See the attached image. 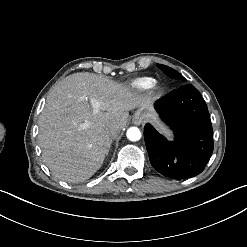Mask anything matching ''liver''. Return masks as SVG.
<instances>
[{"label": "liver", "instance_id": "liver-1", "mask_svg": "<svg viewBox=\"0 0 247 247\" xmlns=\"http://www.w3.org/2000/svg\"><path fill=\"white\" fill-rule=\"evenodd\" d=\"M91 98L101 103L97 114H93ZM149 101L129 85L106 76L89 72L67 76L50 92L39 117L43 162L63 181L89 179L102 166L111 145L107 129L125 128L129 111Z\"/></svg>", "mask_w": 247, "mask_h": 247}]
</instances>
